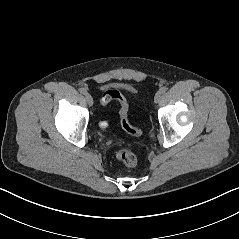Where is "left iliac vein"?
<instances>
[{
	"mask_svg": "<svg viewBox=\"0 0 239 239\" xmlns=\"http://www.w3.org/2000/svg\"><path fill=\"white\" fill-rule=\"evenodd\" d=\"M161 99V93L158 91L156 94H155V97H154V102L155 103H158Z\"/></svg>",
	"mask_w": 239,
	"mask_h": 239,
	"instance_id": "4c4485c4",
	"label": "left iliac vein"
}]
</instances>
